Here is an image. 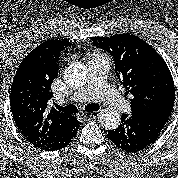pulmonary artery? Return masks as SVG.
Masks as SVG:
<instances>
[{
	"mask_svg": "<svg viewBox=\"0 0 178 178\" xmlns=\"http://www.w3.org/2000/svg\"><path fill=\"white\" fill-rule=\"evenodd\" d=\"M88 70L87 83L75 90L70 100L82 103L94 98H100L122 111H128L129 104L107 82L108 60L101 56H91L88 61Z\"/></svg>",
	"mask_w": 178,
	"mask_h": 178,
	"instance_id": "e3ab8cb5",
	"label": "pulmonary artery"
}]
</instances>
